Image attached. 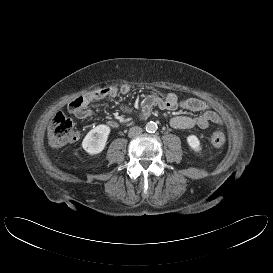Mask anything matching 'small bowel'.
<instances>
[{"label": "small bowel", "mask_w": 273, "mask_h": 273, "mask_svg": "<svg viewBox=\"0 0 273 273\" xmlns=\"http://www.w3.org/2000/svg\"><path fill=\"white\" fill-rule=\"evenodd\" d=\"M131 90L129 85H123L119 89L122 94H127ZM118 90L113 87L104 88L99 91H94L80 98V103L75 104L72 101L69 104V112L77 119L84 120L92 116V112L88 109L89 105L97 100L105 98H113L117 95ZM154 107H158L162 110H175L180 108L184 111L200 113L196 117H190L185 115L174 116L170 120V124L173 128L177 129H190L193 127H199L201 129H207L211 123H222L221 116L205 101L198 98H186L180 99L176 94L169 93L166 97L162 98L156 95L147 96L140 107V114L142 117H146L152 111ZM121 110L125 113L130 112V108L126 105H121ZM116 122L110 123V125H116Z\"/></svg>", "instance_id": "obj_1"}]
</instances>
